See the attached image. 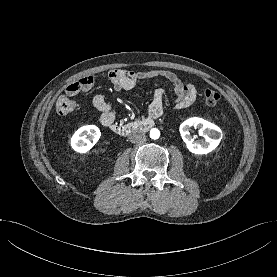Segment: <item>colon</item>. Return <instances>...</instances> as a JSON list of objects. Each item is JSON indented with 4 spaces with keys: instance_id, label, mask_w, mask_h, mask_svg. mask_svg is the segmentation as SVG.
Listing matches in <instances>:
<instances>
[{
    "instance_id": "1",
    "label": "colon",
    "mask_w": 277,
    "mask_h": 277,
    "mask_svg": "<svg viewBox=\"0 0 277 277\" xmlns=\"http://www.w3.org/2000/svg\"><path fill=\"white\" fill-rule=\"evenodd\" d=\"M86 89L85 82L79 80L74 86L71 87L72 93H81ZM72 94H65L58 98L56 102V111L59 115H69L72 112L75 111L77 104L76 102L71 98ZM204 100L206 104L210 106L216 105L220 100V94L213 90V89H207L204 92Z\"/></svg>"
}]
</instances>
